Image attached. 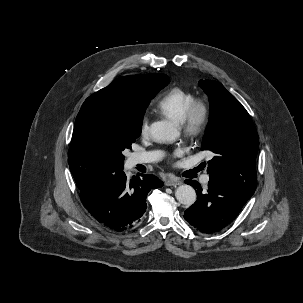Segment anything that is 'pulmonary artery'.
<instances>
[{"label": "pulmonary artery", "instance_id": "1", "mask_svg": "<svg viewBox=\"0 0 303 303\" xmlns=\"http://www.w3.org/2000/svg\"><path fill=\"white\" fill-rule=\"evenodd\" d=\"M160 158L159 152L136 153L131 156L132 164L149 163L156 161ZM209 175H203L201 181L204 185L209 183Z\"/></svg>", "mask_w": 303, "mask_h": 303}]
</instances>
